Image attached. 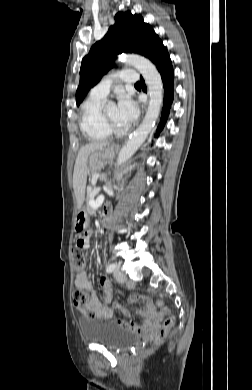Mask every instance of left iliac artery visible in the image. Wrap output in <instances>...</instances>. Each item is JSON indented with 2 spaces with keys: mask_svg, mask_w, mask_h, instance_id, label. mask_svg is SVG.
<instances>
[{
  "mask_svg": "<svg viewBox=\"0 0 252 390\" xmlns=\"http://www.w3.org/2000/svg\"><path fill=\"white\" fill-rule=\"evenodd\" d=\"M115 268H116V264L115 263H111L110 265L107 266L106 272L107 273H111V272L114 271Z\"/></svg>",
  "mask_w": 252,
  "mask_h": 390,
  "instance_id": "1",
  "label": "left iliac artery"
}]
</instances>
